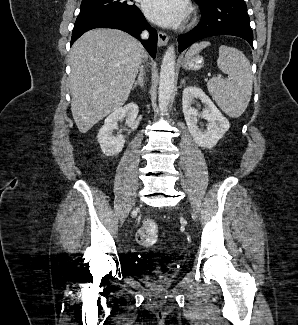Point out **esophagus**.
Instances as JSON below:
<instances>
[{
  "instance_id": "1",
  "label": "esophagus",
  "mask_w": 298,
  "mask_h": 325,
  "mask_svg": "<svg viewBox=\"0 0 298 325\" xmlns=\"http://www.w3.org/2000/svg\"><path fill=\"white\" fill-rule=\"evenodd\" d=\"M168 43V35L163 32H158V46L164 47Z\"/></svg>"
}]
</instances>
